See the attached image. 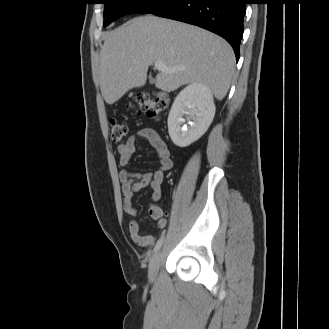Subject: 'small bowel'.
Listing matches in <instances>:
<instances>
[{"label": "small bowel", "mask_w": 329, "mask_h": 329, "mask_svg": "<svg viewBox=\"0 0 329 329\" xmlns=\"http://www.w3.org/2000/svg\"><path fill=\"white\" fill-rule=\"evenodd\" d=\"M137 139L147 141L152 147L155 158L159 161V167L155 171L138 173L126 169L136 150ZM117 151L119 154V165L124 168L119 175L124 212L131 217H135L137 211L132 205L133 194L145 187H150L152 194L148 212L150 217L157 221L158 229L163 230L166 227L167 221L163 217V210L159 206V201L162 197L161 188L164 172L172 167L170 151L166 142L157 130L142 128L136 135H132L126 141L120 143ZM128 229L132 241L139 248L147 249L156 240L155 236L142 233L136 220L129 222Z\"/></svg>", "instance_id": "obj_1"}]
</instances>
